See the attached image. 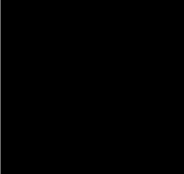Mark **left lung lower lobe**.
Returning <instances> with one entry per match:
<instances>
[{
	"label": "left lung lower lobe",
	"mask_w": 184,
	"mask_h": 174,
	"mask_svg": "<svg viewBox=\"0 0 184 174\" xmlns=\"http://www.w3.org/2000/svg\"><path fill=\"white\" fill-rule=\"evenodd\" d=\"M162 134L163 131L141 127L129 122L121 136L120 144L130 153H141L157 143Z\"/></svg>",
	"instance_id": "obj_1"
}]
</instances>
